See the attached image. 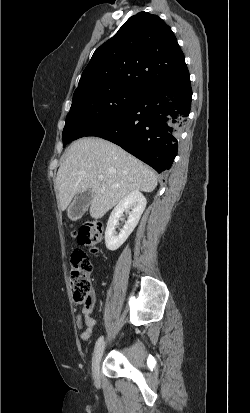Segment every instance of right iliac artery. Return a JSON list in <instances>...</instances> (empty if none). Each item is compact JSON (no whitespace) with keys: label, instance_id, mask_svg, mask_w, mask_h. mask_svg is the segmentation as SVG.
<instances>
[{"label":"right iliac artery","instance_id":"obj_1","mask_svg":"<svg viewBox=\"0 0 250 413\" xmlns=\"http://www.w3.org/2000/svg\"><path fill=\"white\" fill-rule=\"evenodd\" d=\"M103 340H104L103 336L98 338V340L96 341V344H95V349H97L103 343Z\"/></svg>","mask_w":250,"mask_h":413}]
</instances>
